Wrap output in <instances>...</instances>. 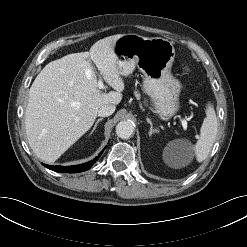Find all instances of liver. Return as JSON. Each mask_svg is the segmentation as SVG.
Wrapping results in <instances>:
<instances>
[{"label":"liver","instance_id":"liver-1","mask_svg":"<svg viewBox=\"0 0 247 247\" xmlns=\"http://www.w3.org/2000/svg\"><path fill=\"white\" fill-rule=\"evenodd\" d=\"M121 34L98 40L89 52L68 54L48 63L29 90L25 128L35 155L55 162L93 125L102 105L122 100L124 82L117 67L115 42ZM116 91L103 93L91 66Z\"/></svg>","mask_w":247,"mask_h":247}]
</instances>
